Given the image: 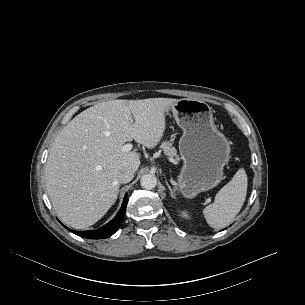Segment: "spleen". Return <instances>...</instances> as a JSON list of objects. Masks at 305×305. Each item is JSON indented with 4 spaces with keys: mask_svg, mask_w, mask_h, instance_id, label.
Returning <instances> with one entry per match:
<instances>
[{
    "mask_svg": "<svg viewBox=\"0 0 305 305\" xmlns=\"http://www.w3.org/2000/svg\"><path fill=\"white\" fill-rule=\"evenodd\" d=\"M248 179L243 168L216 194L214 202L203 210L212 228H222L233 221L240 212L247 194Z\"/></svg>",
    "mask_w": 305,
    "mask_h": 305,
    "instance_id": "obj_1",
    "label": "spleen"
}]
</instances>
